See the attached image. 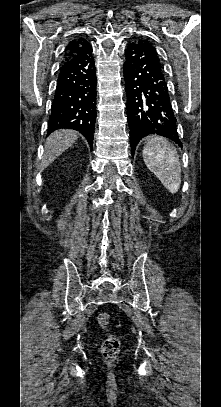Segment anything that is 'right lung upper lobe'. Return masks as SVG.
Returning a JSON list of instances; mask_svg holds the SVG:
<instances>
[{"mask_svg":"<svg viewBox=\"0 0 221 407\" xmlns=\"http://www.w3.org/2000/svg\"><path fill=\"white\" fill-rule=\"evenodd\" d=\"M88 42L82 38L74 39L66 46L63 59L73 57L75 54L81 52Z\"/></svg>","mask_w":221,"mask_h":407,"instance_id":"1","label":"right lung upper lobe"}]
</instances>
